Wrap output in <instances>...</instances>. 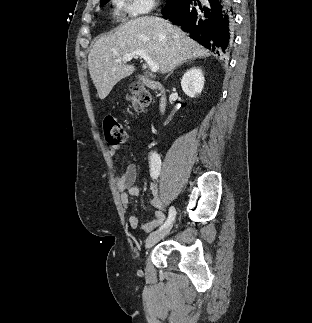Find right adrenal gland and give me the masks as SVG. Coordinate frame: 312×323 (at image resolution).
<instances>
[{
  "label": "right adrenal gland",
  "mask_w": 312,
  "mask_h": 323,
  "mask_svg": "<svg viewBox=\"0 0 312 323\" xmlns=\"http://www.w3.org/2000/svg\"><path fill=\"white\" fill-rule=\"evenodd\" d=\"M190 62H192V60H190ZM181 66H183V64H181Z\"/></svg>",
  "instance_id": "2a0ac1e0"
}]
</instances>
